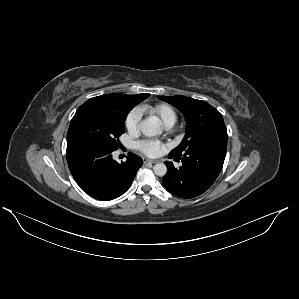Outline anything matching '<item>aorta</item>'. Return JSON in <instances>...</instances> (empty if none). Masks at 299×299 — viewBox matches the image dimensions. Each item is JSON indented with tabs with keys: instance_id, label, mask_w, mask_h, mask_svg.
Segmentation results:
<instances>
[{
	"instance_id": "obj_1",
	"label": "aorta",
	"mask_w": 299,
	"mask_h": 299,
	"mask_svg": "<svg viewBox=\"0 0 299 299\" xmlns=\"http://www.w3.org/2000/svg\"><path fill=\"white\" fill-rule=\"evenodd\" d=\"M140 129L143 135L152 137L161 134V128L158 122L153 119H145L140 124ZM154 173L157 176H164L167 173V167L164 163H157L154 165Z\"/></svg>"
}]
</instances>
